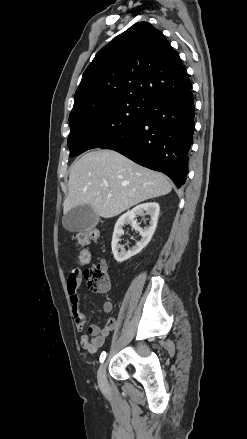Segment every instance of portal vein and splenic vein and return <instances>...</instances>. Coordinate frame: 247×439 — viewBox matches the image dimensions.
<instances>
[{
  "label": "portal vein and splenic vein",
  "mask_w": 247,
  "mask_h": 439,
  "mask_svg": "<svg viewBox=\"0 0 247 439\" xmlns=\"http://www.w3.org/2000/svg\"><path fill=\"white\" fill-rule=\"evenodd\" d=\"M105 186H106V187H108V186H109V184H108V183H105Z\"/></svg>",
  "instance_id": "18ae733b"
}]
</instances>
